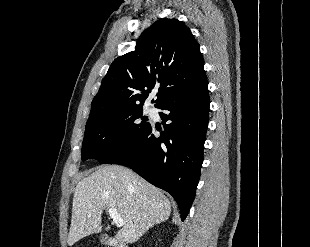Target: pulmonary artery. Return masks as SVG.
Segmentation results:
<instances>
[{
  "mask_svg": "<svg viewBox=\"0 0 310 247\" xmlns=\"http://www.w3.org/2000/svg\"><path fill=\"white\" fill-rule=\"evenodd\" d=\"M150 111L153 112V113L155 112L153 109H150Z\"/></svg>",
  "mask_w": 310,
  "mask_h": 247,
  "instance_id": "e3ab8cb5",
  "label": "pulmonary artery"
}]
</instances>
